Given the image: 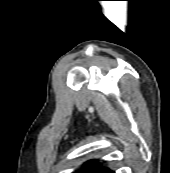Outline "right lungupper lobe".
Instances as JSON below:
<instances>
[{
  "mask_svg": "<svg viewBox=\"0 0 170 173\" xmlns=\"http://www.w3.org/2000/svg\"><path fill=\"white\" fill-rule=\"evenodd\" d=\"M110 171V169L102 167L95 160H90L83 166L81 170L75 173H109Z\"/></svg>",
  "mask_w": 170,
  "mask_h": 173,
  "instance_id": "cb5924a9",
  "label": "right lung upper lobe"
}]
</instances>
